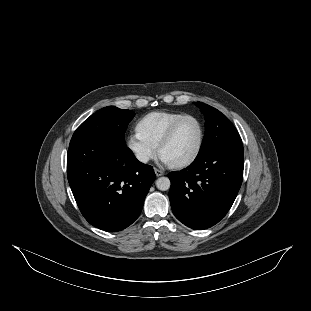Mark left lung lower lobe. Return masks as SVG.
<instances>
[{
    "label": "left lung lower lobe",
    "instance_id": "0a47b994",
    "mask_svg": "<svg viewBox=\"0 0 311 311\" xmlns=\"http://www.w3.org/2000/svg\"><path fill=\"white\" fill-rule=\"evenodd\" d=\"M243 144L232 142L170 172L169 198L176 218L202 230L218 223L231 208L243 178Z\"/></svg>",
    "mask_w": 311,
    "mask_h": 311
}]
</instances>
